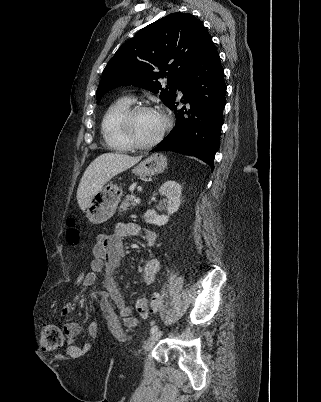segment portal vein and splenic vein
<instances>
[{
	"mask_svg": "<svg viewBox=\"0 0 321 402\" xmlns=\"http://www.w3.org/2000/svg\"><path fill=\"white\" fill-rule=\"evenodd\" d=\"M133 198H134V201H135L136 203H140V198H135L134 196H133Z\"/></svg>",
	"mask_w": 321,
	"mask_h": 402,
	"instance_id": "portal-vein-and-splenic-vein-1",
	"label": "portal vein and splenic vein"
}]
</instances>
